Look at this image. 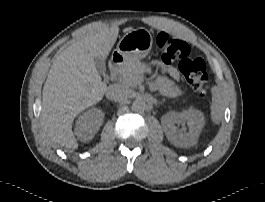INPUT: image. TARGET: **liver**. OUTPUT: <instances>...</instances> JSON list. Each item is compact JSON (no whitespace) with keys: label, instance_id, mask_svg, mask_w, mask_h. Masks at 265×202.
Listing matches in <instances>:
<instances>
[{"label":"liver","instance_id":"1","mask_svg":"<svg viewBox=\"0 0 265 202\" xmlns=\"http://www.w3.org/2000/svg\"><path fill=\"white\" fill-rule=\"evenodd\" d=\"M134 30L125 28L124 33ZM119 34V27L96 22L87 34L56 55L42 91L41 121L50 139L68 149H77L72 131L75 117L100 102L107 85L95 66V57L104 60Z\"/></svg>","mask_w":265,"mask_h":202}]
</instances>
